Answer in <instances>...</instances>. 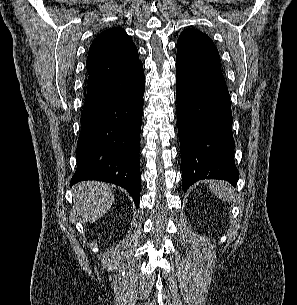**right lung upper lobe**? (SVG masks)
<instances>
[{
    "instance_id": "obj_1",
    "label": "right lung upper lobe",
    "mask_w": 297,
    "mask_h": 305,
    "mask_svg": "<svg viewBox=\"0 0 297 305\" xmlns=\"http://www.w3.org/2000/svg\"><path fill=\"white\" fill-rule=\"evenodd\" d=\"M140 63L138 50L125 30L120 27L108 29L99 34L89 48L87 89L116 79Z\"/></svg>"
}]
</instances>
